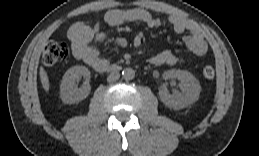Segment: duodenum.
<instances>
[{
	"instance_id": "410a0bca",
	"label": "duodenum",
	"mask_w": 259,
	"mask_h": 156,
	"mask_svg": "<svg viewBox=\"0 0 259 156\" xmlns=\"http://www.w3.org/2000/svg\"><path fill=\"white\" fill-rule=\"evenodd\" d=\"M117 67L116 66H105L101 69V71H114L116 70Z\"/></svg>"
}]
</instances>
